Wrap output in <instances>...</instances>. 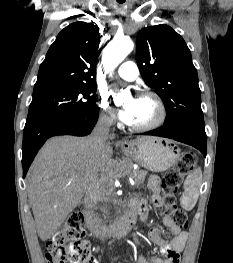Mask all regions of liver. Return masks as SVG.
Returning <instances> with one entry per match:
<instances>
[{
  "label": "liver",
  "instance_id": "liver-1",
  "mask_svg": "<svg viewBox=\"0 0 233 263\" xmlns=\"http://www.w3.org/2000/svg\"><path fill=\"white\" fill-rule=\"evenodd\" d=\"M112 154L107 144L98 161L91 137L57 136L44 144L27 176L28 198L42 241L55 234L99 172L107 173Z\"/></svg>",
  "mask_w": 233,
  "mask_h": 263
}]
</instances>
